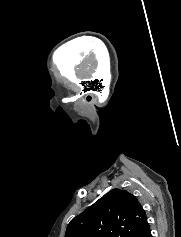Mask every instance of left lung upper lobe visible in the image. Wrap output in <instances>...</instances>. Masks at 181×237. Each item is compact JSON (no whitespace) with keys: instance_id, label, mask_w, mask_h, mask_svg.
Segmentation results:
<instances>
[{"instance_id":"1","label":"left lung upper lobe","mask_w":181,"mask_h":237,"mask_svg":"<svg viewBox=\"0 0 181 237\" xmlns=\"http://www.w3.org/2000/svg\"><path fill=\"white\" fill-rule=\"evenodd\" d=\"M149 227L136 197L113 189L69 223L65 237H139Z\"/></svg>"}]
</instances>
